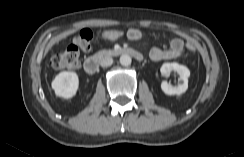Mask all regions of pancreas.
<instances>
[{"instance_id": "cf45deb5", "label": "pancreas", "mask_w": 244, "mask_h": 157, "mask_svg": "<svg viewBox=\"0 0 244 157\" xmlns=\"http://www.w3.org/2000/svg\"><path fill=\"white\" fill-rule=\"evenodd\" d=\"M112 51L111 50H102L96 53V56L98 57H103L105 55L111 54Z\"/></svg>"}]
</instances>
